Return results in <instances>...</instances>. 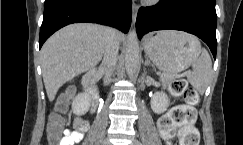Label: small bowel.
<instances>
[{
  "label": "small bowel",
  "instance_id": "1",
  "mask_svg": "<svg viewBox=\"0 0 243 145\" xmlns=\"http://www.w3.org/2000/svg\"><path fill=\"white\" fill-rule=\"evenodd\" d=\"M77 121H82L84 124V128L81 130H67L64 132V136L61 140V144L60 145H76L77 143H79L83 137H84V132L87 129V123L83 120L77 119ZM166 145H172V143L170 141H166Z\"/></svg>",
  "mask_w": 243,
  "mask_h": 145
}]
</instances>
